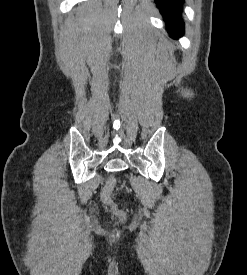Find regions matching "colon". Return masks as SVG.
<instances>
[{
  "label": "colon",
  "mask_w": 247,
  "mask_h": 275,
  "mask_svg": "<svg viewBox=\"0 0 247 275\" xmlns=\"http://www.w3.org/2000/svg\"><path fill=\"white\" fill-rule=\"evenodd\" d=\"M114 186H115V178L111 176L108 178L107 183L102 190L101 196H102L103 202L107 206H109L112 209L113 213L119 218V220L123 222L126 219V214L115 206L114 201L112 200V197H111L112 192L114 190Z\"/></svg>",
  "instance_id": "1"
}]
</instances>
